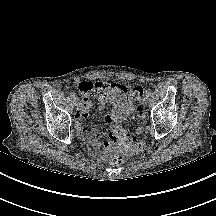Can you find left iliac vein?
<instances>
[{
	"label": "left iliac vein",
	"mask_w": 216,
	"mask_h": 216,
	"mask_svg": "<svg viewBox=\"0 0 216 216\" xmlns=\"http://www.w3.org/2000/svg\"><path fill=\"white\" fill-rule=\"evenodd\" d=\"M148 101H149V99H148V97L146 96V97H144V99H143V105H147L148 104Z\"/></svg>",
	"instance_id": "4c4485c4"
}]
</instances>
